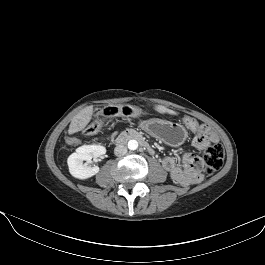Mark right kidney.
<instances>
[{
	"mask_svg": "<svg viewBox=\"0 0 265 265\" xmlns=\"http://www.w3.org/2000/svg\"><path fill=\"white\" fill-rule=\"evenodd\" d=\"M106 153V149L101 145H84L79 147L75 153L71 154L67 160L70 174L77 179H88L99 172L98 166H86L83 161H91Z\"/></svg>",
	"mask_w": 265,
	"mask_h": 265,
	"instance_id": "1",
	"label": "right kidney"
}]
</instances>
